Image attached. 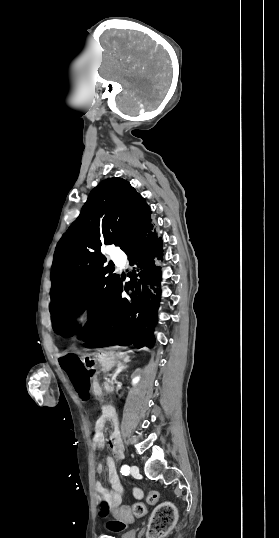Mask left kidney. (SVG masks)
I'll use <instances>...</instances> for the list:
<instances>
[{
	"label": "left kidney",
	"instance_id": "5707ae66",
	"mask_svg": "<svg viewBox=\"0 0 279 538\" xmlns=\"http://www.w3.org/2000/svg\"><path fill=\"white\" fill-rule=\"evenodd\" d=\"M139 380H140L139 376H137V378H133L132 384H138Z\"/></svg>",
	"mask_w": 279,
	"mask_h": 538
}]
</instances>
